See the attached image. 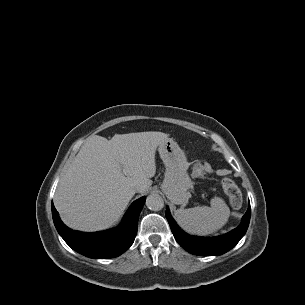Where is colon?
I'll list each match as a JSON object with an SVG mask.
<instances>
[{"label":"colon","instance_id":"1","mask_svg":"<svg viewBox=\"0 0 305 305\" xmlns=\"http://www.w3.org/2000/svg\"><path fill=\"white\" fill-rule=\"evenodd\" d=\"M221 185L230 204L233 207H239L242 203V195L236 183L230 177L225 176L221 180Z\"/></svg>","mask_w":305,"mask_h":305}]
</instances>
